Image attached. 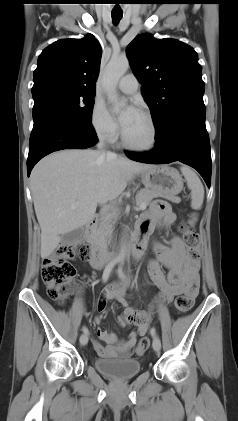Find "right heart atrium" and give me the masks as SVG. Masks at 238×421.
Wrapping results in <instances>:
<instances>
[{
	"instance_id": "obj_1",
	"label": "right heart atrium",
	"mask_w": 238,
	"mask_h": 421,
	"mask_svg": "<svg viewBox=\"0 0 238 421\" xmlns=\"http://www.w3.org/2000/svg\"><path fill=\"white\" fill-rule=\"evenodd\" d=\"M91 124L96 134L107 141H114L119 134L117 122L100 100H96L93 104Z\"/></svg>"
}]
</instances>
